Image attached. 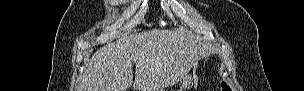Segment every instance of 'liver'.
<instances>
[{
    "mask_svg": "<svg viewBox=\"0 0 304 91\" xmlns=\"http://www.w3.org/2000/svg\"><path fill=\"white\" fill-rule=\"evenodd\" d=\"M210 53L205 43L179 31L126 33L93 54L78 91H127L132 83L136 91H159L181 82L193 65Z\"/></svg>",
    "mask_w": 304,
    "mask_h": 91,
    "instance_id": "6515ba94",
    "label": "liver"
}]
</instances>
